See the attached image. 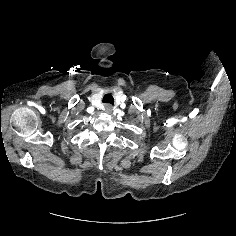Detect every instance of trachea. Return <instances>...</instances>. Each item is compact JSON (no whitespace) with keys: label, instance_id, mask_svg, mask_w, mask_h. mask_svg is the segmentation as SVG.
<instances>
[{"label":"trachea","instance_id":"trachea-1","mask_svg":"<svg viewBox=\"0 0 236 236\" xmlns=\"http://www.w3.org/2000/svg\"><path fill=\"white\" fill-rule=\"evenodd\" d=\"M102 102H103V103H108V104L113 105V104H114V98H113V96L111 95V93H107V94L103 97Z\"/></svg>","mask_w":236,"mask_h":236}]
</instances>
